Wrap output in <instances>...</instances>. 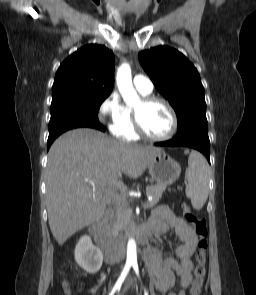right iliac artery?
Instances as JSON below:
<instances>
[{
    "label": "right iliac artery",
    "mask_w": 256,
    "mask_h": 295,
    "mask_svg": "<svg viewBox=\"0 0 256 295\" xmlns=\"http://www.w3.org/2000/svg\"><path fill=\"white\" fill-rule=\"evenodd\" d=\"M132 266V263L127 262L123 268V271L121 272V275L119 276L117 282L115 283L113 289L111 290V292L109 293V295H114V293L117 290H120L122 283L124 282L130 268Z\"/></svg>",
    "instance_id": "obj_1"
}]
</instances>
